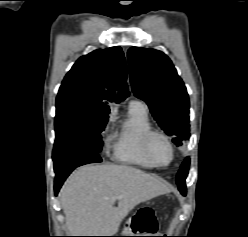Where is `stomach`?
<instances>
[{
  "label": "stomach",
  "instance_id": "obj_1",
  "mask_svg": "<svg viewBox=\"0 0 248 237\" xmlns=\"http://www.w3.org/2000/svg\"><path fill=\"white\" fill-rule=\"evenodd\" d=\"M128 230H129V232H128L129 234L126 235V236H136L135 233H138V232L133 231V230H132L131 228H129V227H128Z\"/></svg>",
  "mask_w": 248,
  "mask_h": 237
}]
</instances>
